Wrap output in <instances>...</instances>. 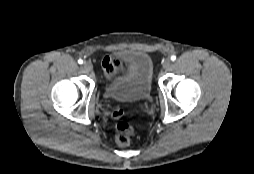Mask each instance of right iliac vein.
Wrapping results in <instances>:
<instances>
[{
	"instance_id": "right-iliac-vein-1",
	"label": "right iliac vein",
	"mask_w": 254,
	"mask_h": 174,
	"mask_svg": "<svg viewBox=\"0 0 254 174\" xmlns=\"http://www.w3.org/2000/svg\"><path fill=\"white\" fill-rule=\"evenodd\" d=\"M82 68L84 69V71L90 72V71H92L93 66L89 62H84L83 65H82Z\"/></svg>"
}]
</instances>
